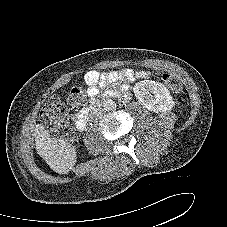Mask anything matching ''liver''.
Returning a JSON list of instances; mask_svg holds the SVG:
<instances>
[{"label":"liver","instance_id":"liver-1","mask_svg":"<svg viewBox=\"0 0 227 227\" xmlns=\"http://www.w3.org/2000/svg\"><path fill=\"white\" fill-rule=\"evenodd\" d=\"M34 133L38 155L56 173H68L76 163L75 149L64 140L51 138L43 125H36Z\"/></svg>","mask_w":227,"mask_h":227}]
</instances>
